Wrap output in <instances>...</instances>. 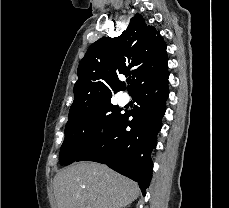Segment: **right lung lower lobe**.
Masks as SVG:
<instances>
[{
	"label": "right lung lower lobe",
	"mask_w": 229,
	"mask_h": 208,
	"mask_svg": "<svg viewBox=\"0 0 229 208\" xmlns=\"http://www.w3.org/2000/svg\"><path fill=\"white\" fill-rule=\"evenodd\" d=\"M167 69L166 65L160 75L142 83L131 93L139 106L125 112L118 125L76 161L107 164L138 182L143 195L146 194L153 168L150 153L157 145L169 95ZM131 116L133 118L129 120ZM127 126L131 128L129 131Z\"/></svg>",
	"instance_id": "right-lung-lower-lobe-1"
}]
</instances>
